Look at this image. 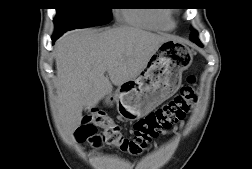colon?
Returning <instances> with one entry per match:
<instances>
[{
	"instance_id": "colon-1",
	"label": "colon",
	"mask_w": 252,
	"mask_h": 169,
	"mask_svg": "<svg viewBox=\"0 0 252 169\" xmlns=\"http://www.w3.org/2000/svg\"><path fill=\"white\" fill-rule=\"evenodd\" d=\"M187 80L188 84L181 88L176 97L138 120L130 135H125L121 127L105 112L88 111L76 130L78 142L88 143L93 148L107 145L125 154L141 155L153 139L180 122L196 101L195 78L189 76Z\"/></svg>"
}]
</instances>
